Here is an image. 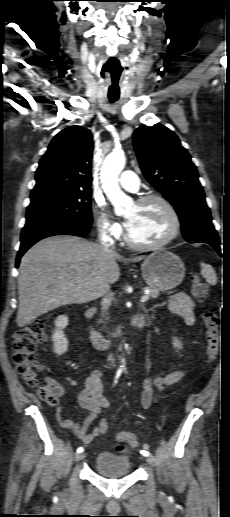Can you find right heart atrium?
<instances>
[{"instance_id":"right-heart-atrium-1","label":"right heart atrium","mask_w":230,"mask_h":517,"mask_svg":"<svg viewBox=\"0 0 230 517\" xmlns=\"http://www.w3.org/2000/svg\"><path fill=\"white\" fill-rule=\"evenodd\" d=\"M97 228L105 239H118L122 234L121 225L114 221L102 206H97Z\"/></svg>"}]
</instances>
